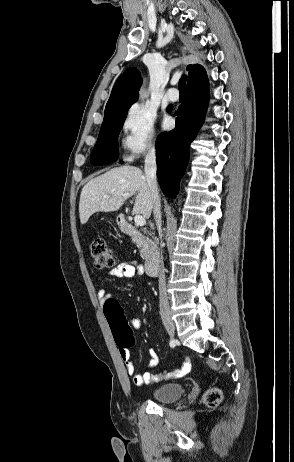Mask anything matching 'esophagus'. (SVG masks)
<instances>
[{
	"label": "esophagus",
	"instance_id": "esophagus-1",
	"mask_svg": "<svg viewBox=\"0 0 294 462\" xmlns=\"http://www.w3.org/2000/svg\"><path fill=\"white\" fill-rule=\"evenodd\" d=\"M184 51H185V49H184V48H182V52H184Z\"/></svg>",
	"mask_w": 294,
	"mask_h": 462
}]
</instances>
